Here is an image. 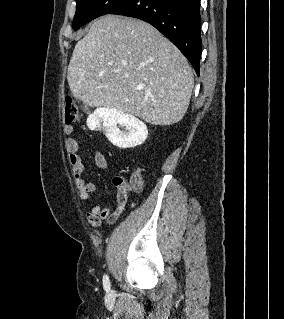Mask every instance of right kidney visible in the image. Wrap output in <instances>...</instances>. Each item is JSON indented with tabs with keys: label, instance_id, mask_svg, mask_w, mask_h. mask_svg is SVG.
Masks as SVG:
<instances>
[{
	"label": "right kidney",
	"instance_id": "ca27d5eb",
	"mask_svg": "<svg viewBox=\"0 0 284 319\" xmlns=\"http://www.w3.org/2000/svg\"><path fill=\"white\" fill-rule=\"evenodd\" d=\"M117 125L125 130L121 131ZM87 126L91 130L102 126L109 141L123 149L141 145L148 136L147 127L141 120L119 109H96L88 116Z\"/></svg>",
	"mask_w": 284,
	"mask_h": 319
}]
</instances>
